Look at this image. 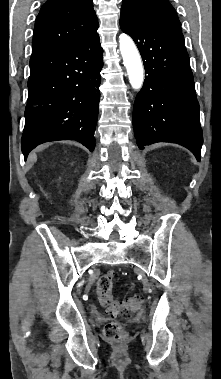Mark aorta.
Returning a JSON list of instances; mask_svg holds the SVG:
<instances>
[{"label":"aorta","mask_w":221,"mask_h":379,"mask_svg":"<svg viewBox=\"0 0 221 379\" xmlns=\"http://www.w3.org/2000/svg\"><path fill=\"white\" fill-rule=\"evenodd\" d=\"M119 48L127 69L129 82L133 89L139 90L143 85L144 74L140 54L133 40L127 34L119 36Z\"/></svg>","instance_id":"762f6f07"}]
</instances>
